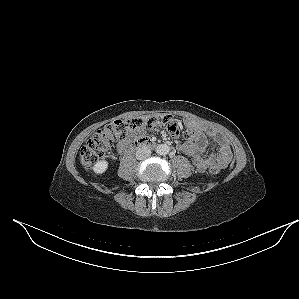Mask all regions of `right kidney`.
<instances>
[{
  "label": "right kidney",
  "instance_id": "right-kidney-1",
  "mask_svg": "<svg viewBox=\"0 0 299 299\" xmlns=\"http://www.w3.org/2000/svg\"><path fill=\"white\" fill-rule=\"evenodd\" d=\"M108 168V162L105 160H101L96 162V164L93 166V171L96 174H102L104 173Z\"/></svg>",
  "mask_w": 299,
  "mask_h": 299
}]
</instances>
